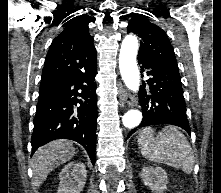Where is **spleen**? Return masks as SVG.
<instances>
[{"instance_id": "obj_1", "label": "spleen", "mask_w": 221, "mask_h": 193, "mask_svg": "<svg viewBox=\"0 0 221 193\" xmlns=\"http://www.w3.org/2000/svg\"><path fill=\"white\" fill-rule=\"evenodd\" d=\"M138 144L141 146L142 156L150 161L167 164L187 174L193 170L191 146L186 136L176 127H164L156 138H153L152 128H144L140 132Z\"/></svg>"}]
</instances>
